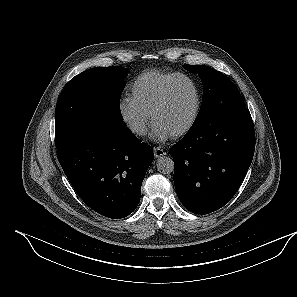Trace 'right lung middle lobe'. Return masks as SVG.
<instances>
[{
  "mask_svg": "<svg viewBox=\"0 0 297 297\" xmlns=\"http://www.w3.org/2000/svg\"><path fill=\"white\" fill-rule=\"evenodd\" d=\"M128 70L119 66L88 69L72 78L63 88L55 111L56 148L91 120L123 121L120 95Z\"/></svg>",
  "mask_w": 297,
  "mask_h": 297,
  "instance_id": "right-lung-middle-lobe-1",
  "label": "right lung middle lobe"
}]
</instances>
